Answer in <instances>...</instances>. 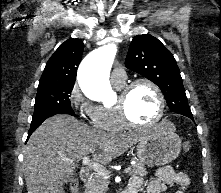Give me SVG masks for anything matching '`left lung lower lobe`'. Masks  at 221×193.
Instances as JSON below:
<instances>
[{
    "instance_id": "1",
    "label": "left lung lower lobe",
    "mask_w": 221,
    "mask_h": 193,
    "mask_svg": "<svg viewBox=\"0 0 221 193\" xmlns=\"http://www.w3.org/2000/svg\"><path fill=\"white\" fill-rule=\"evenodd\" d=\"M187 117H189L190 119H192L194 121L193 116H187Z\"/></svg>"
}]
</instances>
